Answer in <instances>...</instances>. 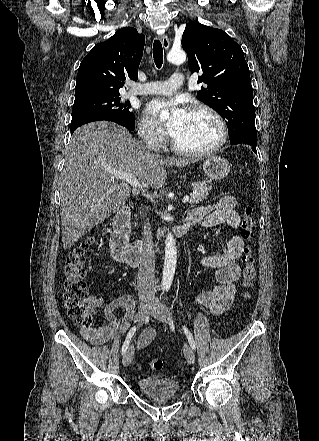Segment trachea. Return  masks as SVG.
<instances>
[{"label":"trachea","instance_id":"3493384b","mask_svg":"<svg viewBox=\"0 0 319 441\" xmlns=\"http://www.w3.org/2000/svg\"><path fill=\"white\" fill-rule=\"evenodd\" d=\"M153 58L157 68H161L163 64V48L159 40H154L153 43Z\"/></svg>","mask_w":319,"mask_h":441}]
</instances>
